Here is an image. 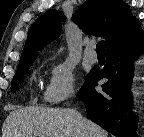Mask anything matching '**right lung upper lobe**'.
Returning a JSON list of instances; mask_svg holds the SVG:
<instances>
[{"label":"right lung upper lobe","instance_id":"right-lung-upper-lobe-1","mask_svg":"<svg viewBox=\"0 0 144 137\" xmlns=\"http://www.w3.org/2000/svg\"><path fill=\"white\" fill-rule=\"evenodd\" d=\"M62 15L63 13L49 10L33 23L19 66L34 60L37 51L60 35ZM73 20L86 34L104 37L106 51L143 33L139 21L132 16L129 6L121 0H86L73 15Z\"/></svg>","mask_w":144,"mask_h":137}]
</instances>
